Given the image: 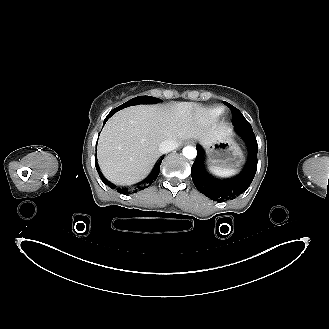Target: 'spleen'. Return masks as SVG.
Masks as SVG:
<instances>
[{
    "instance_id": "obj_1",
    "label": "spleen",
    "mask_w": 329,
    "mask_h": 329,
    "mask_svg": "<svg viewBox=\"0 0 329 329\" xmlns=\"http://www.w3.org/2000/svg\"><path fill=\"white\" fill-rule=\"evenodd\" d=\"M210 172L216 177L226 178V177L233 176L234 174H236L238 172V170H236V169L220 170V169L212 168V169H210Z\"/></svg>"
}]
</instances>
